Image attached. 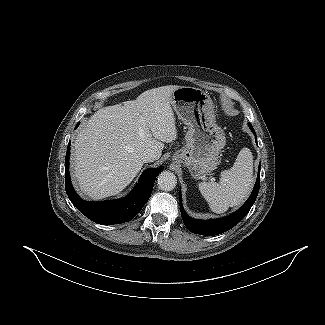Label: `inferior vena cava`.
<instances>
[{"label": "inferior vena cava", "instance_id": "1", "mask_svg": "<svg viewBox=\"0 0 325 325\" xmlns=\"http://www.w3.org/2000/svg\"><path fill=\"white\" fill-rule=\"evenodd\" d=\"M158 158L157 153L152 149H146L141 153V159L143 162H153Z\"/></svg>", "mask_w": 325, "mask_h": 325}]
</instances>
